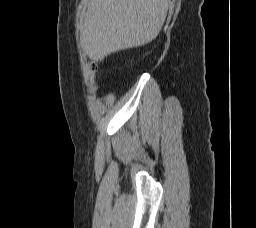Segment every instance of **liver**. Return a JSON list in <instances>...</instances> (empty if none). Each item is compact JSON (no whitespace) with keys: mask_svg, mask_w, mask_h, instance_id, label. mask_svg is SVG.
<instances>
[{"mask_svg":"<svg viewBox=\"0 0 256 228\" xmlns=\"http://www.w3.org/2000/svg\"><path fill=\"white\" fill-rule=\"evenodd\" d=\"M169 0H88L81 32L87 55L103 61L111 53L154 40L167 16Z\"/></svg>","mask_w":256,"mask_h":228,"instance_id":"liver-1","label":"liver"}]
</instances>
